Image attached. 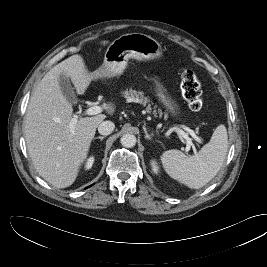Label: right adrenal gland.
Wrapping results in <instances>:
<instances>
[{
	"mask_svg": "<svg viewBox=\"0 0 267 267\" xmlns=\"http://www.w3.org/2000/svg\"><path fill=\"white\" fill-rule=\"evenodd\" d=\"M105 137H106V136H98V137H95L94 140H95V139H100V140L102 141Z\"/></svg>",
	"mask_w": 267,
	"mask_h": 267,
	"instance_id": "2a0ac1e0",
	"label": "right adrenal gland"
}]
</instances>
